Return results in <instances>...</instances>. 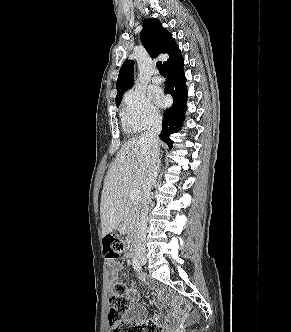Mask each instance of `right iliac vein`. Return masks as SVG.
Instances as JSON below:
<instances>
[{
  "instance_id": "63e3f726",
  "label": "right iliac vein",
  "mask_w": 291,
  "mask_h": 332,
  "mask_svg": "<svg viewBox=\"0 0 291 332\" xmlns=\"http://www.w3.org/2000/svg\"><path fill=\"white\" fill-rule=\"evenodd\" d=\"M140 261H141V262H146V259L143 258V259H140Z\"/></svg>"
}]
</instances>
